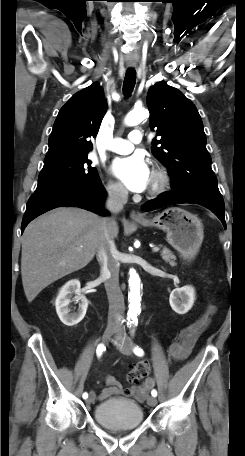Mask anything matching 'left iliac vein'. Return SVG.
I'll return each instance as SVG.
<instances>
[{"instance_id": "left-iliac-vein-1", "label": "left iliac vein", "mask_w": 245, "mask_h": 456, "mask_svg": "<svg viewBox=\"0 0 245 456\" xmlns=\"http://www.w3.org/2000/svg\"><path fill=\"white\" fill-rule=\"evenodd\" d=\"M119 333H120V337H121L119 340V343H118V348H119L120 352L125 355H131L132 351H133V345L131 343L124 342L122 340V337H123L122 330H120ZM147 403L149 406H155L157 404V399L154 396H149L147 399Z\"/></svg>"}]
</instances>
